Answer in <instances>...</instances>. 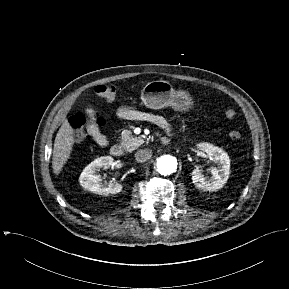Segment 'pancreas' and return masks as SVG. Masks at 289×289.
Masks as SVG:
<instances>
[{
    "mask_svg": "<svg viewBox=\"0 0 289 289\" xmlns=\"http://www.w3.org/2000/svg\"><path fill=\"white\" fill-rule=\"evenodd\" d=\"M144 143L141 137H134L130 130H123L121 133V146L128 152L137 149Z\"/></svg>",
    "mask_w": 289,
    "mask_h": 289,
    "instance_id": "cf45deb5",
    "label": "pancreas"
}]
</instances>
